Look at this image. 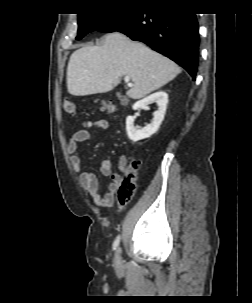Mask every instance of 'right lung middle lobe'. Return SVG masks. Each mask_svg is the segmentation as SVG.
Masks as SVG:
<instances>
[{
  "label": "right lung middle lobe",
  "instance_id": "1",
  "mask_svg": "<svg viewBox=\"0 0 252 303\" xmlns=\"http://www.w3.org/2000/svg\"><path fill=\"white\" fill-rule=\"evenodd\" d=\"M127 12L128 11L114 13L79 14V29L76 39H81L89 32L99 31L100 29L107 26L111 22L117 20Z\"/></svg>",
  "mask_w": 252,
  "mask_h": 303
}]
</instances>
